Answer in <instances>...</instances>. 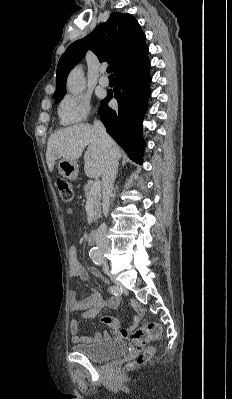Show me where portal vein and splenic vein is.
Here are the masks:
<instances>
[{
  "label": "portal vein and splenic vein",
  "mask_w": 232,
  "mask_h": 399,
  "mask_svg": "<svg viewBox=\"0 0 232 399\" xmlns=\"http://www.w3.org/2000/svg\"><path fill=\"white\" fill-rule=\"evenodd\" d=\"M100 188H101V184H100V182H98V180H96V182H94V184L92 186L91 192H100Z\"/></svg>",
  "instance_id": "portal-vein-and-splenic-vein-1"
}]
</instances>
